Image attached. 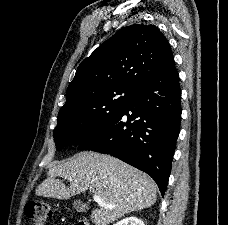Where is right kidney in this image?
Returning a JSON list of instances; mask_svg holds the SVG:
<instances>
[{
  "instance_id": "obj_1",
  "label": "right kidney",
  "mask_w": 228,
  "mask_h": 225,
  "mask_svg": "<svg viewBox=\"0 0 228 225\" xmlns=\"http://www.w3.org/2000/svg\"><path fill=\"white\" fill-rule=\"evenodd\" d=\"M116 225H144V223L140 219H137V217H126V219L118 221Z\"/></svg>"
}]
</instances>
